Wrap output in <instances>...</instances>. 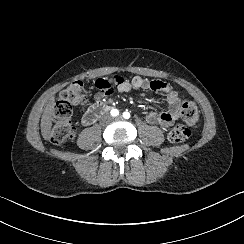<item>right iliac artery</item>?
<instances>
[{
	"label": "right iliac artery",
	"instance_id": "right-iliac-artery-1",
	"mask_svg": "<svg viewBox=\"0 0 244 244\" xmlns=\"http://www.w3.org/2000/svg\"><path fill=\"white\" fill-rule=\"evenodd\" d=\"M111 115L114 116V117H116V116L119 115V111L117 109H112L111 110Z\"/></svg>",
	"mask_w": 244,
	"mask_h": 244
}]
</instances>
